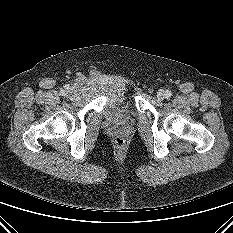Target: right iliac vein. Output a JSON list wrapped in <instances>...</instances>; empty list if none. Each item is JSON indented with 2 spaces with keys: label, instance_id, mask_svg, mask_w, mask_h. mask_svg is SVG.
<instances>
[{
  "label": "right iliac vein",
  "instance_id": "obj_1",
  "mask_svg": "<svg viewBox=\"0 0 233 233\" xmlns=\"http://www.w3.org/2000/svg\"><path fill=\"white\" fill-rule=\"evenodd\" d=\"M65 96H66L67 99L72 98L74 96L73 91L72 90L66 91Z\"/></svg>",
  "mask_w": 233,
  "mask_h": 233
}]
</instances>
